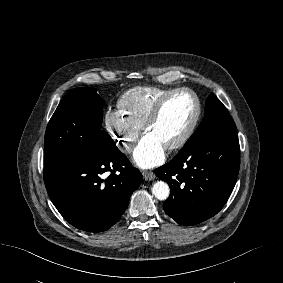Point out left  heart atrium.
<instances>
[{"mask_svg":"<svg viewBox=\"0 0 283 283\" xmlns=\"http://www.w3.org/2000/svg\"><path fill=\"white\" fill-rule=\"evenodd\" d=\"M133 159L141 168L155 167L164 161L165 147L157 140L145 135L135 149Z\"/></svg>","mask_w":283,"mask_h":283,"instance_id":"obj_1","label":"left heart atrium"}]
</instances>
